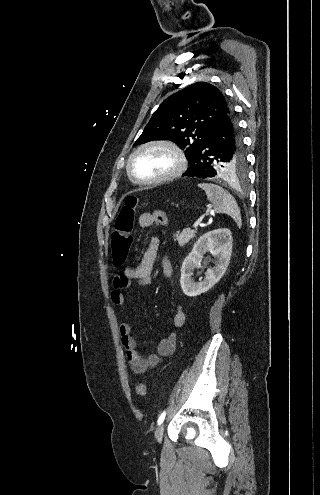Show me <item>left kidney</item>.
Returning <instances> with one entry per match:
<instances>
[{
    "mask_svg": "<svg viewBox=\"0 0 320 495\" xmlns=\"http://www.w3.org/2000/svg\"><path fill=\"white\" fill-rule=\"evenodd\" d=\"M207 251L216 258L215 266L207 268L204 279L195 282L193 271L200 266L203 254ZM231 253L232 236L229 229H217L202 235L182 264L180 284L183 292L194 297L211 289L226 272Z\"/></svg>",
    "mask_w": 320,
    "mask_h": 495,
    "instance_id": "1",
    "label": "left kidney"
}]
</instances>
